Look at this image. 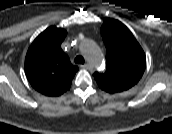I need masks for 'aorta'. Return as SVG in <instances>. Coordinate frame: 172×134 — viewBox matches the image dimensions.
Wrapping results in <instances>:
<instances>
[{"label":"aorta","instance_id":"1","mask_svg":"<svg viewBox=\"0 0 172 134\" xmlns=\"http://www.w3.org/2000/svg\"><path fill=\"white\" fill-rule=\"evenodd\" d=\"M83 51L88 61L94 68L98 70L103 69L104 65L102 52L95 42L91 40L84 41Z\"/></svg>","mask_w":172,"mask_h":134}]
</instances>
